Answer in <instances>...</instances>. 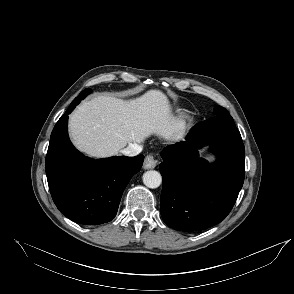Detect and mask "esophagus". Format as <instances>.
<instances>
[{
	"label": "esophagus",
	"mask_w": 294,
	"mask_h": 294,
	"mask_svg": "<svg viewBox=\"0 0 294 294\" xmlns=\"http://www.w3.org/2000/svg\"><path fill=\"white\" fill-rule=\"evenodd\" d=\"M156 160L151 156L147 155L144 159L143 168L144 169H153L156 167Z\"/></svg>",
	"instance_id": "1"
}]
</instances>
